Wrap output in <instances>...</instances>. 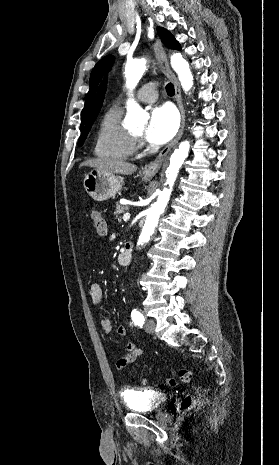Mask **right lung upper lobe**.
Wrapping results in <instances>:
<instances>
[{
    "mask_svg": "<svg viewBox=\"0 0 279 465\" xmlns=\"http://www.w3.org/2000/svg\"><path fill=\"white\" fill-rule=\"evenodd\" d=\"M106 88H107V79H105L103 81V83L99 87L98 94L96 96L93 108L91 110V114L89 116V119H88V121L86 123V126H85L82 133H85L86 131H88L91 128V125L93 124L94 120L96 119V117H97V115H98V113H99V111H100V109L102 107V103H103V100H104V95H105V92H106Z\"/></svg>",
    "mask_w": 279,
    "mask_h": 465,
    "instance_id": "obj_1",
    "label": "right lung upper lobe"
}]
</instances>
